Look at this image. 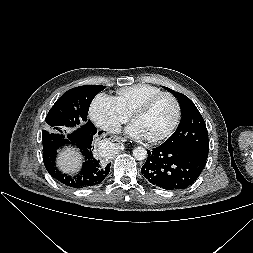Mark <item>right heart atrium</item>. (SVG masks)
I'll return each instance as SVG.
<instances>
[{
    "label": "right heart atrium",
    "mask_w": 253,
    "mask_h": 253,
    "mask_svg": "<svg viewBox=\"0 0 253 253\" xmlns=\"http://www.w3.org/2000/svg\"><path fill=\"white\" fill-rule=\"evenodd\" d=\"M89 114L96 126L111 134L119 132L121 125L129 118L121 111L114 98L104 93L94 97Z\"/></svg>",
    "instance_id": "d8ad5b80"
}]
</instances>
